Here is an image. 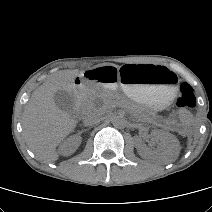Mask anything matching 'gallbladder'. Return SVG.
Wrapping results in <instances>:
<instances>
[{
    "mask_svg": "<svg viewBox=\"0 0 212 212\" xmlns=\"http://www.w3.org/2000/svg\"><path fill=\"white\" fill-rule=\"evenodd\" d=\"M54 102L56 106L67 113H71L73 111L74 106V97L71 92L65 90H58L54 94Z\"/></svg>",
    "mask_w": 212,
    "mask_h": 212,
    "instance_id": "obj_1",
    "label": "gallbladder"
}]
</instances>
